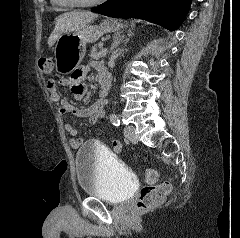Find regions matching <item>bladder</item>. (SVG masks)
Masks as SVG:
<instances>
[{
	"label": "bladder",
	"mask_w": 240,
	"mask_h": 238,
	"mask_svg": "<svg viewBox=\"0 0 240 238\" xmlns=\"http://www.w3.org/2000/svg\"><path fill=\"white\" fill-rule=\"evenodd\" d=\"M77 182L82 192L111 204L127 201L136 180L131 171L106 147L89 142L75 156Z\"/></svg>",
	"instance_id": "31cf9c89"
}]
</instances>
